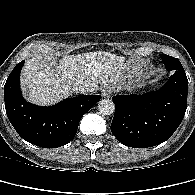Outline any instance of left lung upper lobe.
Here are the masks:
<instances>
[{
  "label": "left lung upper lobe",
  "instance_id": "5c2ea615",
  "mask_svg": "<svg viewBox=\"0 0 195 195\" xmlns=\"http://www.w3.org/2000/svg\"><path fill=\"white\" fill-rule=\"evenodd\" d=\"M160 57L168 71L183 69L180 61L177 58L165 54H160Z\"/></svg>",
  "mask_w": 195,
  "mask_h": 195
}]
</instances>
